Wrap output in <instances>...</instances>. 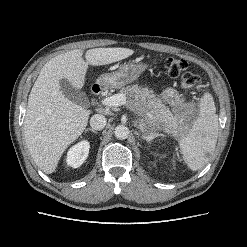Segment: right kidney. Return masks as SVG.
<instances>
[{"mask_svg": "<svg viewBox=\"0 0 247 247\" xmlns=\"http://www.w3.org/2000/svg\"><path fill=\"white\" fill-rule=\"evenodd\" d=\"M89 142L83 140L69 149L66 156V164L73 168L80 167L89 154Z\"/></svg>", "mask_w": 247, "mask_h": 247, "instance_id": "1", "label": "right kidney"}]
</instances>
